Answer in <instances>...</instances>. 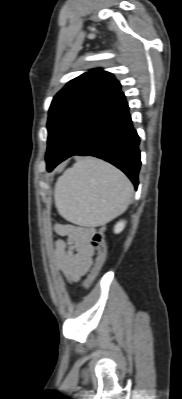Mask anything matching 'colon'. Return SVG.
I'll return each mask as SVG.
<instances>
[{"mask_svg": "<svg viewBox=\"0 0 182 399\" xmlns=\"http://www.w3.org/2000/svg\"><path fill=\"white\" fill-rule=\"evenodd\" d=\"M92 244L97 250V257L92 271L84 282L85 288H88L90 284L96 279L107 259L105 227L102 226L95 230L92 237Z\"/></svg>", "mask_w": 182, "mask_h": 399, "instance_id": "obj_1", "label": "colon"}]
</instances>
